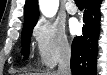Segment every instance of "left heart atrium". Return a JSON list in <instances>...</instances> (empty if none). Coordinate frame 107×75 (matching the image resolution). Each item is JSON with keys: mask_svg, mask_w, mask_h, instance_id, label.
<instances>
[{"mask_svg": "<svg viewBox=\"0 0 107 75\" xmlns=\"http://www.w3.org/2000/svg\"><path fill=\"white\" fill-rule=\"evenodd\" d=\"M78 29H79L78 23H77V22H74V23L72 24V26H71V31H72L73 33H76V32L78 31Z\"/></svg>", "mask_w": 107, "mask_h": 75, "instance_id": "obj_1", "label": "left heart atrium"}]
</instances>
